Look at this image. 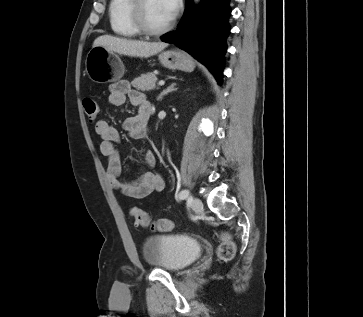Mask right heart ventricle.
I'll use <instances>...</instances> for the list:
<instances>
[{
	"instance_id": "right-heart-ventricle-1",
	"label": "right heart ventricle",
	"mask_w": 363,
	"mask_h": 317,
	"mask_svg": "<svg viewBox=\"0 0 363 317\" xmlns=\"http://www.w3.org/2000/svg\"><path fill=\"white\" fill-rule=\"evenodd\" d=\"M131 0H110L109 21L112 31L122 37H136L139 32L132 25L129 16Z\"/></svg>"
}]
</instances>
